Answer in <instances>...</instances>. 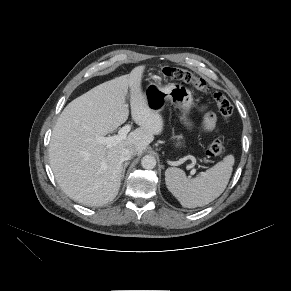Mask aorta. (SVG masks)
<instances>
[{"mask_svg":"<svg viewBox=\"0 0 291 291\" xmlns=\"http://www.w3.org/2000/svg\"><path fill=\"white\" fill-rule=\"evenodd\" d=\"M141 165L144 169H153L156 166V159L154 156L145 155L141 159Z\"/></svg>","mask_w":291,"mask_h":291,"instance_id":"aorta-1","label":"aorta"}]
</instances>
